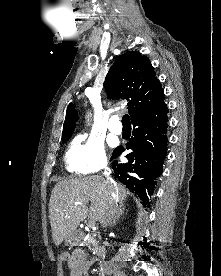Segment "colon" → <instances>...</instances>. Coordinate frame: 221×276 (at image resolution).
Segmentation results:
<instances>
[{
  "instance_id": "1",
  "label": "colon",
  "mask_w": 221,
  "mask_h": 276,
  "mask_svg": "<svg viewBox=\"0 0 221 276\" xmlns=\"http://www.w3.org/2000/svg\"><path fill=\"white\" fill-rule=\"evenodd\" d=\"M70 254L67 251H61L59 253V260L62 262H68L70 260Z\"/></svg>"
}]
</instances>
